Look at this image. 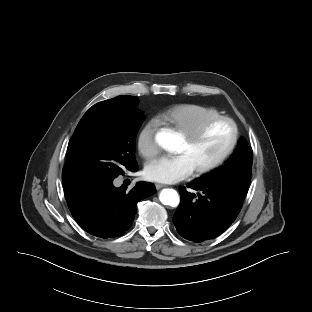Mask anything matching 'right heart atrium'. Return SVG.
Returning a JSON list of instances; mask_svg holds the SVG:
<instances>
[{"mask_svg":"<svg viewBox=\"0 0 312 312\" xmlns=\"http://www.w3.org/2000/svg\"><path fill=\"white\" fill-rule=\"evenodd\" d=\"M158 124L159 122L155 118L148 120L142 126L138 135L137 145L139 152L147 159H151L159 153V145L156 141Z\"/></svg>","mask_w":312,"mask_h":312,"instance_id":"obj_1","label":"right heart atrium"}]
</instances>
